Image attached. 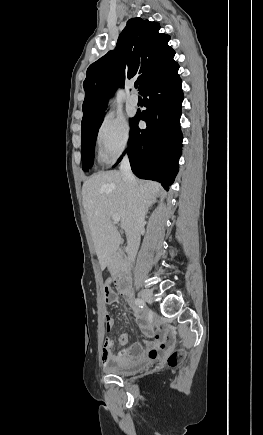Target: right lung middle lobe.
I'll use <instances>...</instances> for the list:
<instances>
[{
  "label": "right lung middle lobe",
  "mask_w": 263,
  "mask_h": 435,
  "mask_svg": "<svg viewBox=\"0 0 263 435\" xmlns=\"http://www.w3.org/2000/svg\"><path fill=\"white\" fill-rule=\"evenodd\" d=\"M104 116V115H103ZM103 116H101L94 124L82 129V169L87 172L93 164L94 159V147L96 142V137L98 129L103 121ZM132 120V119H131ZM130 120V121H131Z\"/></svg>",
  "instance_id": "dd1d6c3e"
}]
</instances>
